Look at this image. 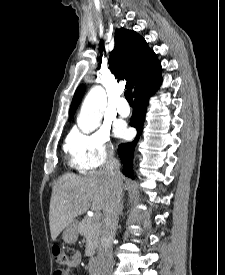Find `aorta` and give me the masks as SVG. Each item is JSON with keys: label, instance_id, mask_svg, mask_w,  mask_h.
Segmentation results:
<instances>
[{"label": "aorta", "instance_id": "1", "mask_svg": "<svg viewBox=\"0 0 225 275\" xmlns=\"http://www.w3.org/2000/svg\"><path fill=\"white\" fill-rule=\"evenodd\" d=\"M106 104L107 97L105 90L101 86L93 87L84 99L77 118L78 127L82 132L88 134L98 128Z\"/></svg>", "mask_w": 225, "mask_h": 275}]
</instances>
